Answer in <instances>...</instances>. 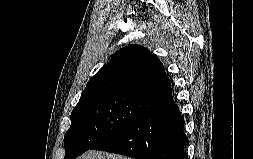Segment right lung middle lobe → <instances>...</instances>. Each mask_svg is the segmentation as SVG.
<instances>
[{"label": "right lung middle lobe", "instance_id": "1", "mask_svg": "<svg viewBox=\"0 0 253 159\" xmlns=\"http://www.w3.org/2000/svg\"><path fill=\"white\" fill-rule=\"evenodd\" d=\"M155 106L150 101L128 95L79 100L71 113V126L64 137V159H75Z\"/></svg>", "mask_w": 253, "mask_h": 159}]
</instances>
